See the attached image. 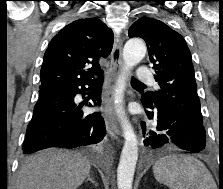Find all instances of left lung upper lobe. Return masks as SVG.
Returning a JSON list of instances; mask_svg holds the SVG:
<instances>
[{"label": "left lung upper lobe", "instance_id": "5c2ea615", "mask_svg": "<svg viewBox=\"0 0 223 189\" xmlns=\"http://www.w3.org/2000/svg\"><path fill=\"white\" fill-rule=\"evenodd\" d=\"M128 35L147 43L160 86L142 99L172 117L203 125L192 57L184 38L162 21L147 17L133 23Z\"/></svg>", "mask_w": 223, "mask_h": 189}]
</instances>
